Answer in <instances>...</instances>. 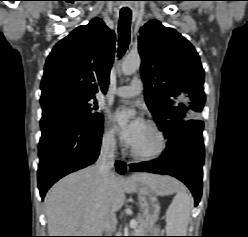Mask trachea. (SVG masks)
Segmentation results:
<instances>
[{"instance_id": "3493384b", "label": "trachea", "mask_w": 248, "mask_h": 237, "mask_svg": "<svg viewBox=\"0 0 248 237\" xmlns=\"http://www.w3.org/2000/svg\"><path fill=\"white\" fill-rule=\"evenodd\" d=\"M130 24H131V11L130 9L123 8L120 11L119 20V47H118V57L121 58L130 42Z\"/></svg>"}]
</instances>
